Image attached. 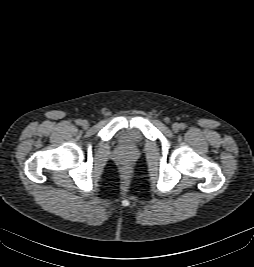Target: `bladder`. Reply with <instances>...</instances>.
<instances>
[{
    "mask_svg": "<svg viewBox=\"0 0 254 267\" xmlns=\"http://www.w3.org/2000/svg\"><path fill=\"white\" fill-rule=\"evenodd\" d=\"M142 136L136 129H126L120 134V141L126 146H134L141 142Z\"/></svg>",
    "mask_w": 254,
    "mask_h": 267,
    "instance_id": "bladder-1",
    "label": "bladder"
}]
</instances>
